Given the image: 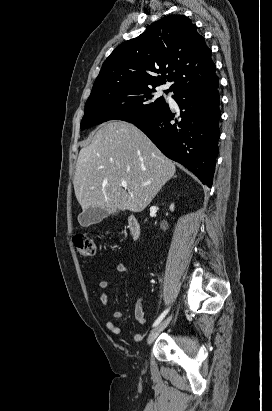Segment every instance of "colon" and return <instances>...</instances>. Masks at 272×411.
Segmentation results:
<instances>
[{"mask_svg": "<svg viewBox=\"0 0 272 411\" xmlns=\"http://www.w3.org/2000/svg\"><path fill=\"white\" fill-rule=\"evenodd\" d=\"M74 246L79 255L83 257H90L96 253V245L94 240L87 235H76L73 238Z\"/></svg>", "mask_w": 272, "mask_h": 411, "instance_id": "obj_1", "label": "colon"}]
</instances>
